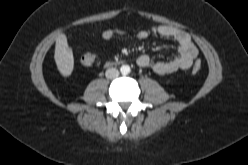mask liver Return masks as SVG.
I'll use <instances>...</instances> for the list:
<instances>
[{"instance_id": "liver-1", "label": "liver", "mask_w": 248, "mask_h": 165, "mask_svg": "<svg viewBox=\"0 0 248 165\" xmlns=\"http://www.w3.org/2000/svg\"><path fill=\"white\" fill-rule=\"evenodd\" d=\"M54 59L59 72L68 77L74 68V57L69 47L65 34H60L56 39Z\"/></svg>"}]
</instances>
